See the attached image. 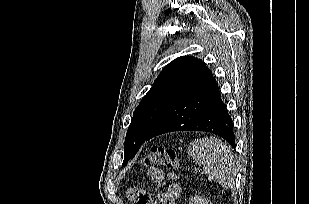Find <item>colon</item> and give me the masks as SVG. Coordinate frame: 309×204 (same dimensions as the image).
Masks as SVG:
<instances>
[{"mask_svg":"<svg viewBox=\"0 0 309 204\" xmlns=\"http://www.w3.org/2000/svg\"><path fill=\"white\" fill-rule=\"evenodd\" d=\"M141 165L144 167L150 166H165L172 169H179V160L175 150L170 148H164L160 146H154L144 156L141 161ZM147 201L146 197H139L138 204H144Z\"/></svg>","mask_w":309,"mask_h":204,"instance_id":"colon-1","label":"colon"}]
</instances>
